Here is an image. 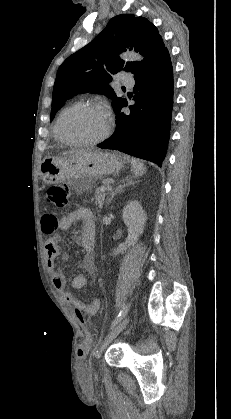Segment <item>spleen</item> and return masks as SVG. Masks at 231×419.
<instances>
[{"mask_svg":"<svg viewBox=\"0 0 231 419\" xmlns=\"http://www.w3.org/2000/svg\"><path fill=\"white\" fill-rule=\"evenodd\" d=\"M132 170L135 176H142L145 172V167L143 163H141L139 160L132 159Z\"/></svg>","mask_w":231,"mask_h":419,"instance_id":"1","label":"spleen"}]
</instances>
